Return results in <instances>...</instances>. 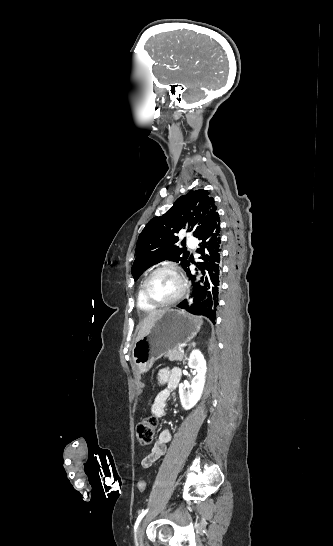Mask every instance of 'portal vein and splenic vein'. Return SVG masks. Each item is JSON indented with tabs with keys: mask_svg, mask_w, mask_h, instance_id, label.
<instances>
[{
	"mask_svg": "<svg viewBox=\"0 0 333 546\" xmlns=\"http://www.w3.org/2000/svg\"><path fill=\"white\" fill-rule=\"evenodd\" d=\"M180 352H181V353H184V349H180Z\"/></svg>",
	"mask_w": 333,
	"mask_h": 546,
	"instance_id": "18ae733b",
	"label": "portal vein and splenic vein"
}]
</instances>
